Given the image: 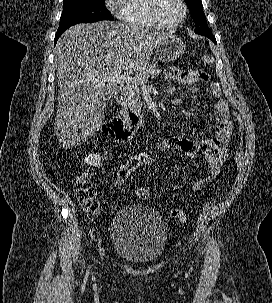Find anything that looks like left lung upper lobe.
<instances>
[{
  "label": "left lung upper lobe",
  "instance_id": "1",
  "mask_svg": "<svg viewBox=\"0 0 272 303\" xmlns=\"http://www.w3.org/2000/svg\"><path fill=\"white\" fill-rule=\"evenodd\" d=\"M190 10L193 21L196 25L195 33L200 35H212L211 30L209 29L206 17L203 12V5L201 0H184Z\"/></svg>",
  "mask_w": 272,
  "mask_h": 303
}]
</instances>
